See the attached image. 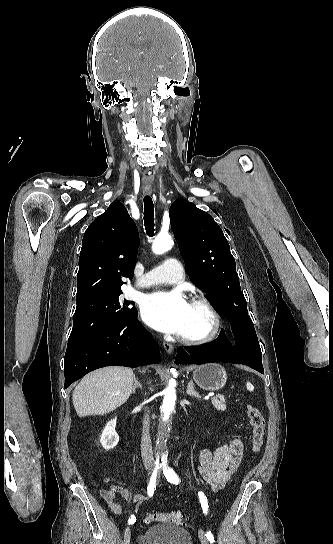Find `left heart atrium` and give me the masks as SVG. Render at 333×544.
<instances>
[{
  "label": "left heart atrium",
  "mask_w": 333,
  "mask_h": 544,
  "mask_svg": "<svg viewBox=\"0 0 333 544\" xmlns=\"http://www.w3.org/2000/svg\"><path fill=\"white\" fill-rule=\"evenodd\" d=\"M189 303L180 291H159L145 297L142 318L152 328L164 333L180 334L185 326Z\"/></svg>",
  "instance_id": "left-heart-atrium-1"
}]
</instances>
